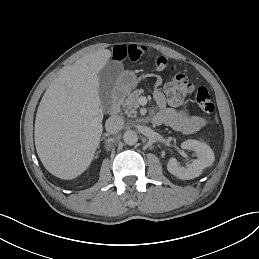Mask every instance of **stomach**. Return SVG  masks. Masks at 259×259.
Segmentation results:
<instances>
[{
	"label": "stomach",
	"mask_w": 259,
	"mask_h": 259,
	"mask_svg": "<svg viewBox=\"0 0 259 259\" xmlns=\"http://www.w3.org/2000/svg\"><path fill=\"white\" fill-rule=\"evenodd\" d=\"M138 79L136 74L133 71H123L119 74L116 79V87L120 91L125 93L131 92L137 87Z\"/></svg>",
	"instance_id": "1"
}]
</instances>
